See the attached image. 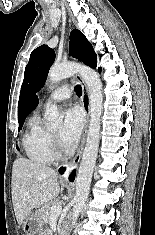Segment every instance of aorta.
Segmentation results:
<instances>
[{
    "label": "aorta",
    "mask_w": 155,
    "mask_h": 235,
    "mask_svg": "<svg viewBox=\"0 0 155 235\" xmlns=\"http://www.w3.org/2000/svg\"><path fill=\"white\" fill-rule=\"evenodd\" d=\"M74 74L80 75L89 90L90 124L82 160L75 180L76 194L74 198L75 205L73 207L71 228L75 225L88 198L93 170L98 154L103 103L101 80L97 72L90 67L78 63H61L53 65L49 70L48 79L51 83H57ZM45 118L53 126L60 125L63 119L55 104L47 108Z\"/></svg>",
    "instance_id": "1"
}]
</instances>
